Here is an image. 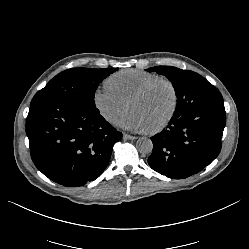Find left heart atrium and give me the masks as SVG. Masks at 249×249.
Wrapping results in <instances>:
<instances>
[{
  "label": "left heart atrium",
  "instance_id": "left-heart-atrium-1",
  "mask_svg": "<svg viewBox=\"0 0 249 249\" xmlns=\"http://www.w3.org/2000/svg\"><path fill=\"white\" fill-rule=\"evenodd\" d=\"M118 125L124 129L145 132L148 130L141 116L136 112L129 110L118 119Z\"/></svg>",
  "mask_w": 249,
  "mask_h": 249
}]
</instances>
